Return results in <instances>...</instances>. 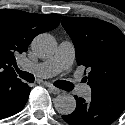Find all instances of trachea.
<instances>
[{"label": "trachea", "instance_id": "obj_1", "mask_svg": "<svg viewBox=\"0 0 125 125\" xmlns=\"http://www.w3.org/2000/svg\"><path fill=\"white\" fill-rule=\"evenodd\" d=\"M15 69L22 79H24L28 82H31V83L34 82V75H32L28 72H25V71H21L17 66H15ZM54 85L60 89L66 90V91H71L74 87V85L71 82L63 81V80L56 81L54 83Z\"/></svg>", "mask_w": 125, "mask_h": 125}]
</instances>
